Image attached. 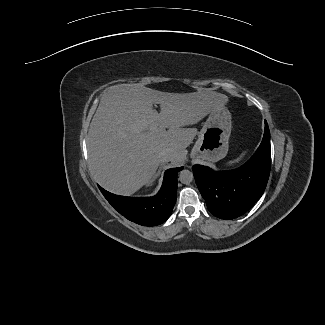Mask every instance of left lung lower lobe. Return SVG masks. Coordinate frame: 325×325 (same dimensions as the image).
<instances>
[{
  "mask_svg": "<svg viewBox=\"0 0 325 325\" xmlns=\"http://www.w3.org/2000/svg\"><path fill=\"white\" fill-rule=\"evenodd\" d=\"M270 167V131L265 121L262 142L244 165L217 172L203 165H194L192 170L209 211L218 218L230 220L243 215L260 199L268 182Z\"/></svg>",
  "mask_w": 325,
  "mask_h": 325,
  "instance_id": "1",
  "label": "left lung lower lobe"
}]
</instances>
